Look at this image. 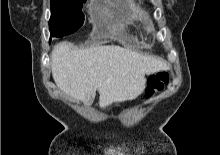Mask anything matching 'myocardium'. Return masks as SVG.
Returning <instances> with one entry per match:
<instances>
[{
	"label": "myocardium",
	"instance_id": "1",
	"mask_svg": "<svg viewBox=\"0 0 220 155\" xmlns=\"http://www.w3.org/2000/svg\"><path fill=\"white\" fill-rule=\"evenodd\" d=\"M143 29L147 32V33H152L155 31V25L153 23L152 20L150 19H146L144 22H143Z\"/></svg>",
	"mask_w": 220,
	"mask_h": 155
}]
</instances>
